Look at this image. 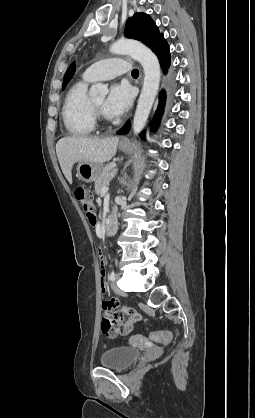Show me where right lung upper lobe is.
<instances>
[{"label": "right lung upper lobe", "instance_id": "cb5924a9", "mask_svg": "<svg viewBox=\"0 0 255 418\" xmlns=\"http://www.w3.org/2000/svg\"><path fill=\"white\" fill-rule=\"evenodd\" d=\"M75 72V63L73 62L70 67L68 68L65 77H64V81H63V86H66L67 83L70 81V79L72 78L73 74Z\"/></svg>", "mask_w": 255, "mask_h": 418}]
</instances>
